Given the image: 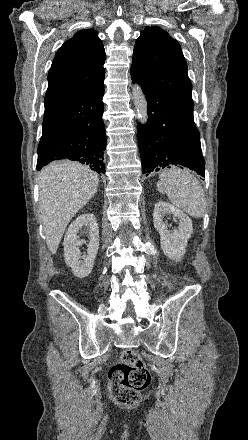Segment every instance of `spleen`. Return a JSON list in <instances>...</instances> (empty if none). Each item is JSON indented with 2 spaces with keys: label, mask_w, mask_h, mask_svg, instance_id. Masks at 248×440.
Masks as SVG:
<instances>
[{
  "label": "spleen",
  "mask_w": 248,
  "mask_h": 440,
  "mask_svg": "<svg viewBox=\"0 0 248 440\" xmlns=\"http://www.w3.org/2000/svg\"><path fill=\"white\" fill-rule=\"evenodd\" d=\"M157 190L192 217H203L206 200L200 182L187 170L172 167L159 175Z\"/></svg>",
  "instance_id": "obj_1"
}]
</instances>
